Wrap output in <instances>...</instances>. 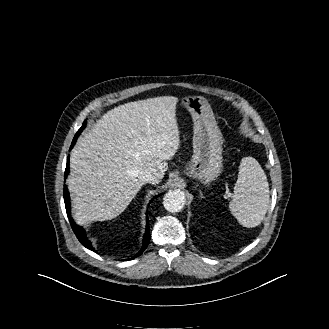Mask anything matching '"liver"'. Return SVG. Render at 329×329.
<instances>
[{
	"mask_svg": "<svg viewBox=\"0 0 329 329\" xmlns=\"http://www.w3.org/2000/svg\"><path fill=\"white\" fill-rule=\"evenodd\" d=\"M177 102L160 96L120 105L78 139L67 185L79 223L119 216L144 185L142 172L161 181L180 144Z\"/></svg>",
	"mask_w": 329,
	"mask_h": 329,
	"instance_id": "obj_1",
	"label": "liver"
}]
</instances>
